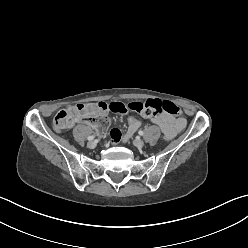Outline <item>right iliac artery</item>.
<instances>
[{
	"mask_svg": "<svg viewBox=\"0 0 248 248\" xmlns=\"http://www.w3.org/2000/svg\"><path fill=\"white\" fill-rule=\"evenodd\" d=\"M95 137L94 136H89L87 139L89 140V141H91V140H93Z\"/></svg>",
	"mask_w": 248,
	"mask_h": 248,
	"instance_id": "obj_1",
	"label": "right iliac artery"
}]
</instances>
